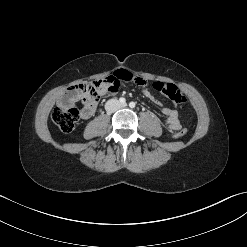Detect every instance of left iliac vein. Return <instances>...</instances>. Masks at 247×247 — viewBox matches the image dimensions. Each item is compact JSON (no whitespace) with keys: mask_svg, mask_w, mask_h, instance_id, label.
<instances>
[{"mask_svg":"<svg viewBox=\"0 0 247 247\" xmlns=\"http://www.w3.org/2000/svg\"><path fill=\"white\" fill-rule=\"evenodd\" d=\"M125 106H126V104H122V105H121V107H125Z\"/></svg>","mask_w":247,"mask_h":247,"instance_id":"obj_1","label":"left iliac vein"}]
</instances>
